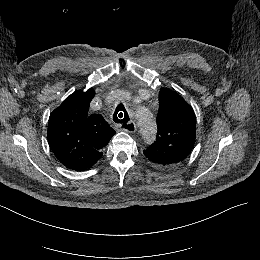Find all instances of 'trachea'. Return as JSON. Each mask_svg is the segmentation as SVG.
I'll return each mask as SVG.
<instances>
[{"mask_svg":"<svg viewBox=\"0 0 260 260\" xmlns=\"http://www.w3.org/2000/svg\"><path fill=\"white\" fill-rule=\"evenodd\" d=\"M129 115L128 112L126 110V108L124 107V105L121 103L119 104L116 109L115 112L113 114V121L116 123H120L122 125H125L129 122Z\"/></svg>","mask_w":260,"mask_h":260,"instance_id":"trachea-1","label":"trachea"}]
</instances>
